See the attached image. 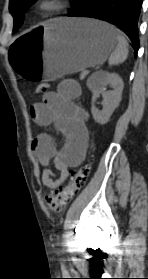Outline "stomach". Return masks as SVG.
Wrapping results in <instances>:
<instances>
[{"mask_svg": "<svg viewBox=\"0 0 148 279\" xmlns=\"http://www.w3.org/2000/svg\"><path fill=\"white\" fill-rule=\"evenodd\" d=\"M117 36L115 27L102 21L53 19L18 36L8 58L17 82H55L105 62Z\"/></svg>", "mask_w": 148, "mask_h": 279, "instance_id": "1", "label": "stomach"}]
</instances>
